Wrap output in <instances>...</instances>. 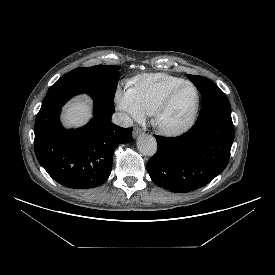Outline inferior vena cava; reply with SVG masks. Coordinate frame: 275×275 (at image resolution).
Masks as SVG:
<instances>
[{"mask_svg":"<svg viewBox=\"0 0 275 275\" xmlns=\"http://www.w3.org/2000/svg\"><path fill=\"white\" fill-rule=\"evenodd\" d=\"M112 122L121 127H130L133 124L132 119L125 113H114L112 116Z\"/></svg>","mask_w":275,"mask_h":275,"instance_id":"1","label":"inferior vena cava"}]
</instances>
